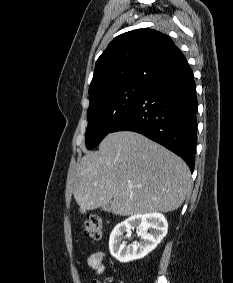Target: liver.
<instances>
[{
    "label": "liver",
    "instance_id": "obj_1",
    "mask_svg": "<svg viewBox=\"0 0 233 283\" xmlns=\"http://www.w3.org/2000/svg\"><path fill=\"white\" fill-rule=\"evenodd\" d=\"M190 176L173 152L139 133L118 131L82 158L73 195L81 213L108 203L119 216L167 213L184 202Z\"/></svg>",
    "mask_w": 233,
    "mask_h": 283
}]
</instances>
